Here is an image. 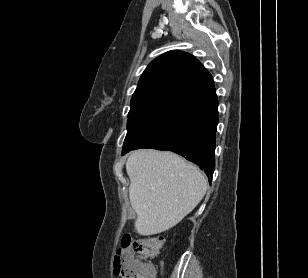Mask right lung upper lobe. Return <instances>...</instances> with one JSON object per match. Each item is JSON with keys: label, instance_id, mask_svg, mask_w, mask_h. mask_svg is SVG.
<instances>
[{"label": "right lung upper lobe", "instance_id": "1", "mask_svg": "<svg viewBox=\"0 0 308 278\" xmlns=\"http://www.w3.org/2000/svg\"><path fill=\"white\" fill-rule=\"evenodd\" d=\"M215 91L211 74L194 56L170 51L153 60L143 72L128 117L179 114Z\"/></svg>", "mask_w": 308, "mask_h": 278}]
</instances>
